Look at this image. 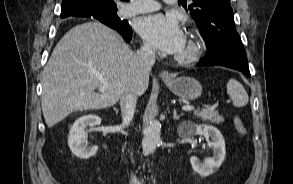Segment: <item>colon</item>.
Here are the masks:
<instances>
[{"instance_id":"colon-1","label":"colon","mask_w":293,"mask_h":184,"mask_svg":"<svg viewBox=\"0 0 293 184\" xmlns=\"http://www.w3.org/2000/svg\"><path fill=\"white\" fill-rule=\"evenodd\" d=\"M234 125H235V128L239 134H241L243 136H245L247 134V129L239 117H235Z\"/></svg>"}]
</instances>
